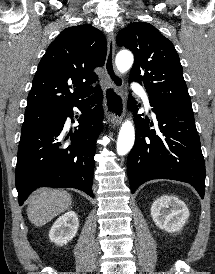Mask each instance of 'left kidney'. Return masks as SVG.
<instances>
[{"label": "left kidney", "mask_w": 215, "mask_h": 274, "mask_svg": "<svg viewBox=\"0 0 215 274\" xmlns=\"http://www.w3.org/2000/svg\"><path fill=\"white\" fill-rule=\"evenodd\" d=\"M189 215L185 203L175 196H162L156 199L151 207L155 225L169 233L180 231Z\"/></svg>", "instance_id": "obj_1"}]
</instances>
